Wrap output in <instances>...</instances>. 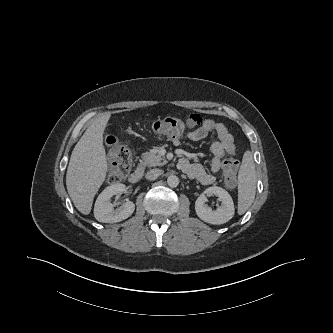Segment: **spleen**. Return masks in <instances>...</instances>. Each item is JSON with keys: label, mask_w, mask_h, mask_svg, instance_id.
I'll use <instances>...</instances> for the list:
<instances>
[{"label": "spleen", "mask_w": 333, "mask_h": 333, "mask_svg": "<svg viewBox=\"0 0 333 333\" xmlns=\"http://www.w3.org/2000/svg\"><path fill=\"white\" fill-rule=\"evenodd\" d=\"M256 173L252 153L247 151L238 173V213L244 214L255 199Z\"/></svg>", "instance_id": "obj_1"}]
</instances>
